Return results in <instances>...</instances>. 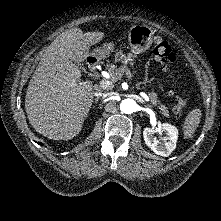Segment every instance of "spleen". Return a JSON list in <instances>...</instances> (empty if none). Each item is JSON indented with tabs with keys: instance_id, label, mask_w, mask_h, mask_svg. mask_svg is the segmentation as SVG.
Masks as SVG:
<instances>
[{
	"instance_id": "obj_1",
	"label": "spleen",
	"mask_w": 221,
	"mask_h": 221,
	"mask_svg": "<svg viewBox=\"0 0 221 221\" xmlns=\"http://www.w3.org/2000/svg\"><path fill=\"white\" fill-rule=\"evenodd\" d=\"M201 110L199 108L193 109L186 116L183 124V133L186 138L192 137L196 128L198 127L201 120Z\"/></svg>"
}]
</instances>
